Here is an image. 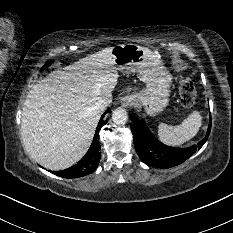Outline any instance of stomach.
<instances>
[{"mask_svg":"<svg viewBox=\"0 0 233 233\" xmlns=\"http://www.w3.org/2000/svg\"><path fill=\"white\" fill-rule=\"evenodd\" d=\"M111 53L118 71L123 74L136 72L146 84L142 91L132 92L128 96L143 105L150 116L163 111L169 102L172 75L160 57L148 48L132 43L116 45Z\"/></svg>","mask_w":233,"mask_h":233,"instance_id":"obj_1","label":"stomach"}]
</instances>
